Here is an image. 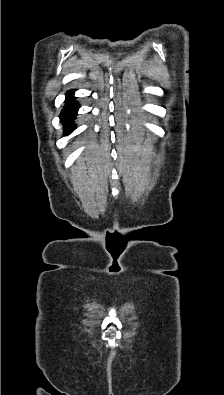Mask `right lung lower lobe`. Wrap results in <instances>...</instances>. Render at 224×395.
<instances>
[{
  "label": "right lung lower lobe",
  "mask_w": 224,
  "mask_h": 395,
  "mask_svg": "<svg viewBox=\"0 0 224 395\" xmlns=\"http://www.w3.org/2000/svg\"><path fill=\"white\" fill-rule=\"evenodd\" d=\"M70 95L67 96V104L65 108L62 110L60 118L61 122L65 125V134H69L72 132V128L74 125L72 124V121L74 120V117L76 116L78 106L74 102V98L72 96L73 91L69 92Z\"/></svg>",
  "instance_id": "right-lung-lower-lobe-1"
}]
</instances>
